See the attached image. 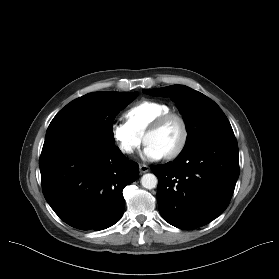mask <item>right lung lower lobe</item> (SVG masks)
Here are the masks:
<instances>
[{
	"label": "right lung lower lobe",
	"instance_id": "obj_1",
	"mask_svg": "<svg viewBox=\"0 0 279 279\" xmlns=\"http://www.w3.org/2000/svg\"><path fill=\"white\" fill-rule=\"evenodd\" d=\"M39 166L48 204L80 230H103L118 222L125 207L122 191L139 175L138 164L117 146L76 135L45 141Z\"/></svg>",
	"mask_w": 279,
	"mask_h": 279
}]
</instances>
